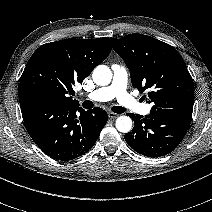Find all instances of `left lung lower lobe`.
<instances>
[{"mask_svg":"<svg viewBox=\"0 0 212 212\" xmlns=\"http://www.w3.org/2000/svg\"><path fill=\"white\" fill-rule=\"evenodd\" d=\"M193 109L151 108L143 117L129 113L134 128L124 138L134 151L149 157H161L172 152L184 138Z\"/></svg>","mask_w":212,"mask_h":212,"instance_id":"obj_1","label":"left lung lower lobe"}]
</instances>
